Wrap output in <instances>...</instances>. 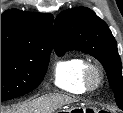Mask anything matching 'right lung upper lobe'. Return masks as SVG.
Listing matches in <instances>:
<instances>
[{
  "label": "right lung upper lobe",
  "mask_w": 123,
  "mask_h": 113,
  "mask_svg": "<svg viewBox=\"0 0 123 113\" xmlns=\"http://www.w3.org/2000/svg\"><path fill=\"white\" fill-rule=\"evenodd\" d=\"M52 22L51 14L6 11L1 16V44L39 42L52 47Z\"/></svg>",
  "instance_id": "cb5924a9"
}]
</instances>
